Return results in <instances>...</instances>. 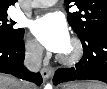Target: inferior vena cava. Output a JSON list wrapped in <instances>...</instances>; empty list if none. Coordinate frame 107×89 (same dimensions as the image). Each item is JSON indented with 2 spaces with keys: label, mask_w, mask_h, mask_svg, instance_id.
I'll use <instances>...</instances> for the list:
<instances>
[{
  "label": "inferior vena cava",
  "mask_w": 107,
  "mask_h": 89,
  "mask_svg": "<svg viewBox=\"0 0 107 89\" xmlns=\"http://www.w3.org/2000/svg\"><path fill=\"white\" fill-rule=\"evenodd\" d=\"M43 48L38 43L33 44L27 52L24 65L32 72H38L41 67ZM30 86V84L28 83Z\"/></svg>",
  "instance_id": "obj_1"
}]
</instances>
